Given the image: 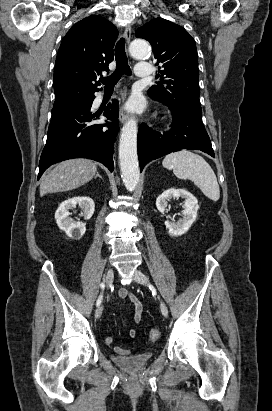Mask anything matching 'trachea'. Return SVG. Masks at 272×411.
<instances>
[{
  "instance_id": "3493384b",
  "label": "trachea",
  "mask_w": 272,
  "mask_h": 411,
  "mask_svg": "<svg viewBox=\"0 0 272 411\" xmlns=\"http://www.w3.org/2000/svg\"><path fill=\"white\" fill-rule=\"evenodd\" d=\"M116 69L109 76L101 78V82L105 86H114L120 80L123 74L131 75V69L128 65L127 56L125 52V39L121 38L115 47Z\"/></svg>"
}]
</instances>
